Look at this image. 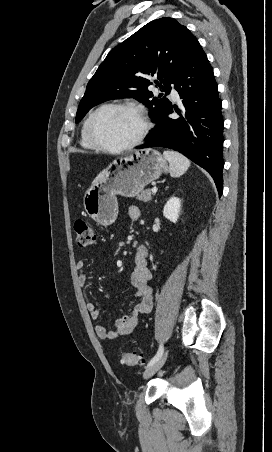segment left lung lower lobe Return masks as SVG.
<instances>
[{"label":"left lung lower lobe","mask_w":272,"mask_h":452,"mask_svg":"<svg viewBox=\"0 0 272 452\" xmlns=\"http://www.w3.org/2000/svg\"><path fill=\"white\" fill-rule=\"evenodd\" d=\"M183 107L168 104L155 121V128L138 148L166 147L183 153L213 177L222 195L223 128L222 103L218 97L213 69L199 42L174 81ZM180 117L172 119L169 114Z\"/></svg>","instance_id":"left-lung-lower-lobe-1"}]
</instances>
